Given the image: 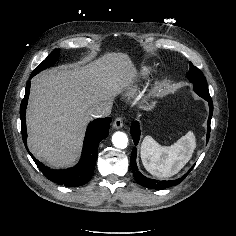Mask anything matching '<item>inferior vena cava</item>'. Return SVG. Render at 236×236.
Masks as SVG:
<instances>
[{"label":"inferior vena cava","mask_w":236,"mask_h":236,"mask_svg":"<svg viewBox=\"0 0 236 236\" xmlns=\"http://www.w3.org/2000/svg\"><path fill=\"white\" fill-rule=\"evenodd\" d=\"M111 108L112 106L109 103H98L91 107L89 114L95 118L107 117L111 113Z\"/></svg>","instance_id":"obj_1"}]
</instances>
